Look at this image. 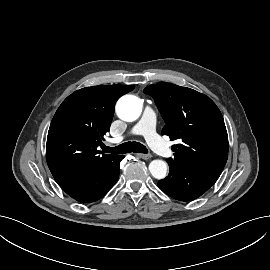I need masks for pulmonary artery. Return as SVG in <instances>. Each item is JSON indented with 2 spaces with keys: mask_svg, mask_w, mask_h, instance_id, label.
<instances>
[{
  "mask_svg": "<svg viewBox=\"0 0 270 270\" xmlns=\"http://www.w3.org/2000/svg\"><path fill=\"white\" fill-rule=\"evenodd\" d=\"M132 133L144 136L153 150L162 157L171 156V148L163 142L157 133L156 115L150 106H146L142 118L134 126ZM122 139V137L117 138L119 141Z\"/></svg>",
  "mask_w": 270,
  "mask_h": 270,
  "instance_id": "pulmonary-artery-1",
  "label": "pulmonary artery"
}]
</instances>
